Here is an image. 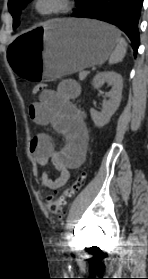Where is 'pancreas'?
I'll list each match as a JSON object with an SVG mask.
<instances>
[{
    "label": "pancreas",
    "instance_id": "obj_1",
    "mask_svg": "<svg viewBox=\"0 0 148 279\" xmlns=\"http://www.w3.org/2000/svg\"><path fill=\"white\" fill-rule=\"evenodd\" d=\"M86 76L83 75V72H80L79 74V79L80 81H83L85 79Z\"/></svg>",
    "mask_w": 148,
    "mask_h": 279
}]
</instances>
